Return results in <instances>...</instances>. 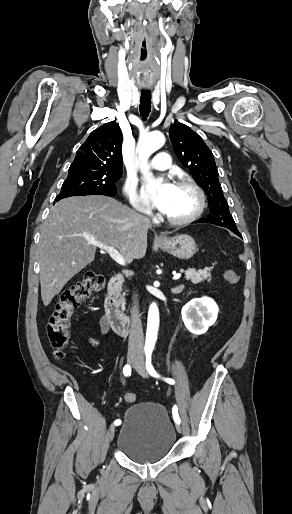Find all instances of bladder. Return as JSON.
<instances>
[{
	"instance_id": "1",
	"label": "bladder",
	"mask_w": 292,
	"mask_h": 514,
	"mask_svg": "<svg viewBox=\"0 0 292 514\" xmlns=\"http://www.w3.org/2000/svg\"><path fill=\"white\" fill-rule=\"evenodd\" d=\"M176 433L166 409L140 402L127 408L117 438V449L135 463L162 460L172 450Z\"/></svg>"
}]
</instances>
